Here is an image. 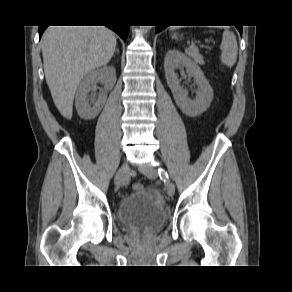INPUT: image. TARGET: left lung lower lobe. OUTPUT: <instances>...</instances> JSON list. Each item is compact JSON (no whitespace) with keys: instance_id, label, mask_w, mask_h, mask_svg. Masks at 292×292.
Instances as JSON below:
<instances>
[{"instance_id":"left-lung-lower-lobe-1","label":"left lung lower lobe","mask_w":292,"mask_h":292,"mask_svg":"<svg viewBox=\"0 0 292 292\" xmlns=\"http://www.w3.org/2000/svg\"><path fill=\"white\" fill-rule=\"evenodd\" d=\"M167 26H165V25H157L156 26V32L158 33V32H160V31H162L163 29H165ZM237 27V29L239 30V32H240V34H242V26H236Z\"/></svg>"}]
</instances>
